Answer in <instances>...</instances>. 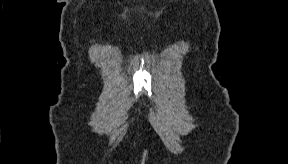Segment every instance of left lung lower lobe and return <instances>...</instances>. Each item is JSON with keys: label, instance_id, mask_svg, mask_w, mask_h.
<instances>
[{"label": "left lung lower lobe", "instance_id": "0a47b994", "mask_svg": "<svg viewBox=\"0 0 288 164\" xmlns=\"http://www.w3.org/2000/svg\"><path fill=\"white\" fill-rule=\"evenodd\" d=\"M248 77L253 82H259L261 80V74L257 70L250 71Z\"/></svg>", "mask_w": 288, "mask_h": 164}]
</instances>
